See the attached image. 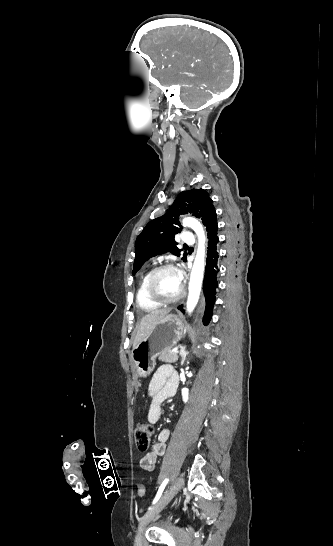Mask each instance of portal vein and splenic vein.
I'll return each instance as SVG.
<instances>
[{
	"label": "portal vein and splenic vein",
	"instance_id": "1",
	"mask_svg": "<svg viewBox=\"0 0 333 546\" xmlns=\"http://www.w3.org/2000/svg\"><path fill=\"white\" fill-rule=\"evenodd\" d=\"M173 352H174V353H178L179 351H178V350H174Z\"/></svg>",
	"mask_w": 333,
	"mask_h": 546
}]
</instances>
